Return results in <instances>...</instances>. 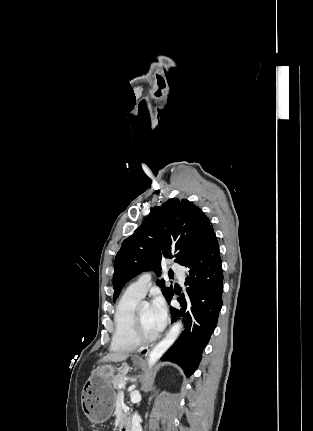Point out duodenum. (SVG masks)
I'll return each mask as SVG.
<instances>
[{
	"label": "duodenum",
	"instance_id": "1",
	"mask_svg": "<svg viewBox=\"0 0 313 431\" xmlns=\"http://www.w3.org/2000/svg\"><path fill=\"white\" fill-rule=\"evenodd\" d=\"M119 431H131V424L129 419H124L121 422Z\"/></svg>",
	"mask_w": 313,
	"mask_h": 431
}]
</instances>
